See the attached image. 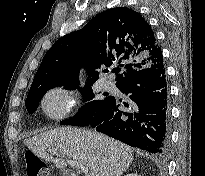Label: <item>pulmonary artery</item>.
Here are the masks:
<instances>
[{
  "instance_id": "1",
  "label": "pulmonary artery",
  "mask_w": 205,
  "mask_h": 176,
  "mask_svg": "<svg viewBox=\"0 0 205 176\" xmlns=\"http://www.w3.org/2000/svg\"><path fill=\"white\" fill-rule=\"evenodd\" d=\"M104 87H105L106 89H113V88H114V84H113V82H112L111 80H107V81H105V83H104Z\"/></svg>"
}]
</instances>
